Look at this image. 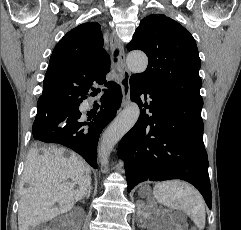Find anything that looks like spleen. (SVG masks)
Wrapping results in <instances>:
<instances>
[{
    "label": "spleen",
    "mask_w": 241,
    "mask_h": 230,
    "mask_svg": "<svg viewBox=\"0 0 241 230\" xmlns=\"http://www.w3.org/2000/svg\"><path fill=\"white\" fill-rule=\"evenodd\" d=\"M153 195L158 203L171 209L183 210L199 229L205 227V203L191 185L180 181L157 183Z\"/></svg>",
    "instance_id": "spleen-1"
}]
</instances>
